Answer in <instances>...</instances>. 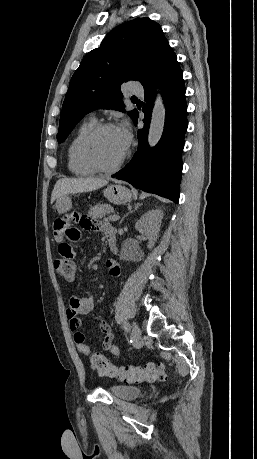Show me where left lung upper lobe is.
Segmentation results:
<instances>
[{
  "label": "left lung upper lobe",
  "instance_id": "left-lung-upper-lobe-1",
  "mask_svg": "<svg viewBox=\"0 0 257 459\" xmlns=\"http://www.w3.org/2000/svg\"><path fill=\"white\" fill-rule=\"evenodd\" d=\"M171 51L160 26L147 17L117 26L73 74L63 102L58 142L95 109L125 112L121 84L136 80L144 85ZM136 113L132 110L128 115L133 119Z\"/></svg>",
  "mask_w": 257,
  "mask_h": 459
}]
</instances>
